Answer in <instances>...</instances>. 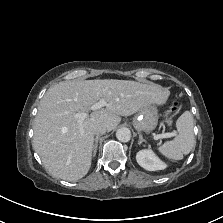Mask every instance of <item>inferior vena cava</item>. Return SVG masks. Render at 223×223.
Returning <instances> with one entry per match:
<instances>
[{
  "label": "inferior vena cava",
  "instance_id": "1",
  "mask_svg": "<svg viewBox=\"0 0 223 223\" xmlns=\"http://www.w3.org/2000/svg\"><path fill=\"white\" fill-rule=\"evenodd\" d=\"M92 130L95 135H103L106 133L107 128L103 124H97L93 126Z\"/></svg>",
  "mask_w": 223,
  "mask_h": 223
}]
</instances>
